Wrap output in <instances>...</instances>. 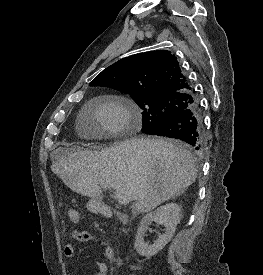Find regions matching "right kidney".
<instances>
[{
	"label": "right kidney",
	"instance_id": "ca27d5eb",
	"mask_svg": "<svg viewBox=\"0 0 263 275\" xmlns=\"http://www.w3.org/2000/svg\"><path fill=\"white\" fill-rule=\"evenodd\" d=\"M180 218V207L176 203H168L157 208L154 212L146 214L138 227L135 239V249L145 257H152L162 250L173 237ZM155 222L165 227L164 234L160 235L157 241L148 245L144 242V237L149 226Z\"/></svg>",
	"mask_w": 263,
	"mask_h": 275
}]
</instances>
